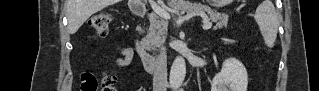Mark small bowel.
<instances>
[{
	"label": "small bowel",
	"mask_w": 319,
	"mask_h": 91,
	"mask_svg": "<svg viewBox=\"0 0 319 91\" xmlns=\"http://www.w3.org/2000/svg\"><path fill=\"white\" fill-rule=\"evenodd\" d=\"M118 50L124 55L122 58H113L110 57L109 59L119 67L128 66L131 63L132 55L130 49L125 45H119ZM115 78L120 82L123 83V79L115 72H112Z\"/></svg>",
	"instance_id": "obj_1"
}]
</instances>
